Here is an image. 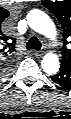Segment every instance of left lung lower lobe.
Returning a JSON list of instances; mask_svg holds the SVG:
<instances>
[{
	"instance_id": "obj_1",
	"label": "left lung lower lobe",
	"mask_w": 71,
	"mask_h": 119,
	"mask_svg": "<svg viewBox=\"0 0 71 119\" xmlns=\"http://www.w3.org/2000/svg\"><path fill=\"white\" fill-rule=\"evenodd\" d=\"M51 79L61 87H71V68L67 66H61L60 72L54 76H51Z\"/></svg>"
}]
</instances>
